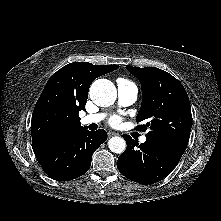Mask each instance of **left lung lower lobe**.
I'll use <instances>...</instances> for the list:
<instances>
[{
  "label": "left lung lower lobe",
  "instance_id": "1",
  "mask_svg": "<svg viewBox=\"0 0 221 221\" xmlns=\"http://www.w3.org/2000/svg\"><path fill=\"white\" fill-rule=\"evenodd\" d=\"M123 138L127 148L119 156L117 167L123 176L140 184H152L166 177L183 155V152L153 139L146 138L145 143L138 145L129 135H123Z\"/></svg>",
  "mask_w": 221,
  "mask_h": 221
}]
</instances>
